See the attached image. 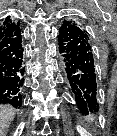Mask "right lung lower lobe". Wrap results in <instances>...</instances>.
Returning <instances> with one entry per match:
<instances>
[{
    "mask_svg": "<svg viewBox=\"0 0 117 136\" xmlns=\"http://www.w3.org/2000/svg\"><path fill=\"white\" fill-rule=\"evenodd\" d=\"M20 23L15 22L0 37V104L22 105L24 58Z\"/></svg>",
    "mask_w": 117,
    "mask_h": 136,
    "instance_id": "98d812e1",
    "label": "right lung lower lobe"
}]
</instances>
